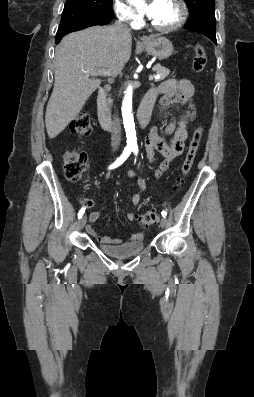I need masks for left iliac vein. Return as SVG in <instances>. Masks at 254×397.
I'll return each instance as SVG.
<instances>
[{
    "label": "left iliac vein",
    "mask_w": 254,
    "mask_h": 397,
    "mask_svg": "<svg viewBox=\"0 0 254 397\" xmlns=\"http://www.w3.org/2000/svg\"><path fill=\"white\" fill-rule=\"evenodd\" d=\"M160 226L162 228H165L167 226V219L166 218H164V217L161 218Z\"/></svg>",
    "instance_id": "1"
}]
</instances>
